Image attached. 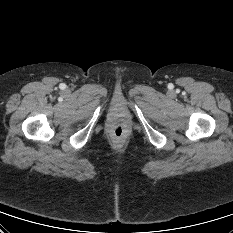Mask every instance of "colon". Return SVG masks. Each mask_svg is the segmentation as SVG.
Listing matches in <instances>:
<instances>
[{
    "instance_id": "colon-1",
    "label": "colon",
    "mask_w": 233,
    "mask_h": 233,
    "mask_svg": "<svg viewBox=\"0 0 233 233\" xmlns=\"http://www.w3.org/2000/svg\"><path fill=\"white\" fill-rule=\"evenodd\" d=\"M113 132L117 137H120L124 134V127L122 125H117L114 127Z\"/></svg>"
}]
</instances>
